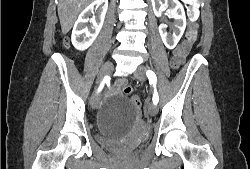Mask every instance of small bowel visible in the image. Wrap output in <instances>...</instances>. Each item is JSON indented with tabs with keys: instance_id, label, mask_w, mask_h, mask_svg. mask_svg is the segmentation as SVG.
Here are the masks:
<instances>
[{
	"instance_id": "1",
	"label": "small bowel",
	"mask_w": 250,
	"mask_h": 169,
	"mask_svg": "<svg viewBox=\"0 0 250 169\" xmlns=\"http://www.w3.org/2000/svg\"><path fill=\"white\" fill-rule=\"evenodd\" d=\"M190 48V42L183 43L175 52L174 56L178 59V62L181 63L184 57L187 55ZM126 85V81L124 79H117L115 85L111 89V94H116L118 90Z\"/></svg>"
}]
</instances>
